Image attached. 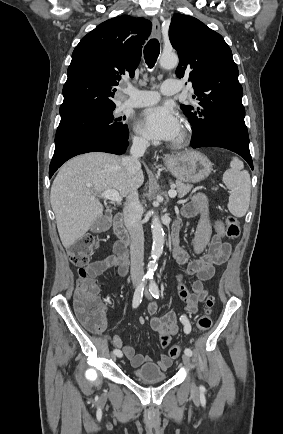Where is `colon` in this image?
Returning <instances> with one entry per match:
<instances>
[{
    "mask_svg": "<svg viewBox=\"0 0 283 434\" xmlns=\"http://www.w3.org/2000/svg\"><path fill=\"white\" fill-rule=\"evenodd\" d=\"M240 233L241 228L238 219L229 216L226 219L227 236L237 238ZM97 246V240L91 235H86L78 239L69 249V259L78 268L74 301L75 310L80 321L93 332L101 331L104 322V314L98 296L99 288L87 268ZM213 305L214 298L209 296L206 299L205 310L197 320V333L205 332L211 327V309ZM180 353L181 348L179 346H172L168 351L171 358L178 357Z\"/></svg>",
    "mask_w": 283,
    "mask_h": 434,
    "instance_id": "obj_1",
    "label": "colon"
}]
</instances>
